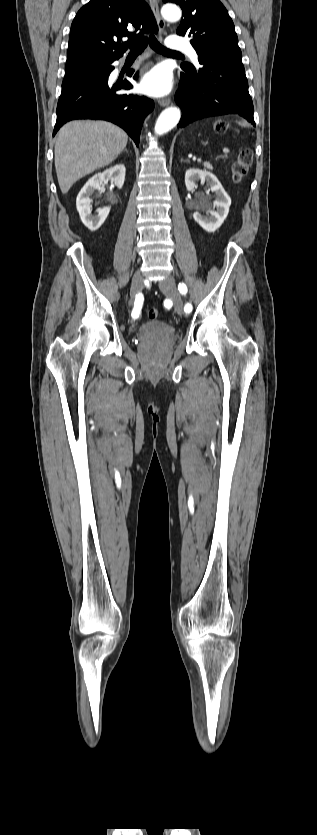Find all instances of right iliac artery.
Returning a JSON list of instances; mask_svg holds the SVG:
<instances>
[{"label": "right iliac artery", "instance_id": "right-iliac-artery-1", "mask_svg": "<svg viewBox=\"0 0 317 835\" xmlns=\"http://www.w3.org/2000/svg\"><path fill=\"white\" fill-rule=\"evenodd\" d=\"M144 297L141 293L135 296L134 308L132 310L131 316L136 319L140 315V311L143 305Z\"/></svg>", "mask_w": 317, "mask_h": 835}]
</instances>
